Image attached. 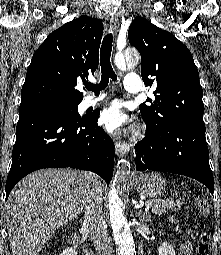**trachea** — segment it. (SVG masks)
I'll return each mask as SVG.
<instances>
[{
  "label": "trachea",
  "instance_id": "trachea-1",
  "mask_svg": "<svg viewBox=\"0 0 221 255\" xmlns=\"http://www.w3.org/2000/svg\"><path fill=\"white\" fill-rule=\"evenodd\" d=\"M113 46V36L111 33L105 35L102 41V46L100 48V65H101V81L99 84H86L85 87L94 93H99L101 90L105 89L109 83V79L113 81L117 80V75L113 71L111 66L110 57Z\"/></svg>",
  "mask_w": 221,
  "mask_h": 255
}]
</instances>
